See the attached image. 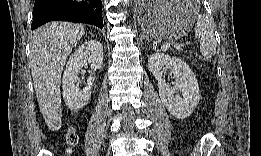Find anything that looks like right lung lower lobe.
<instances>
[{
	"label": "right lung lower lobe",
	"mask_w": 261,
	"mask_h": 156,
	"mask_svg": "<svg viewBox=\"0 0 261 156\" xmlns=\"http://www.w3.org/2000/svg\"><path fill=\"white\" fill-rule=\"evenodd\" d=\"M101 0H35L31 29L49 21L83 22L103 28Z\"/></svg>",
	"instance_id": "right-lung-lower-lobe-1"
}]
</instances>
